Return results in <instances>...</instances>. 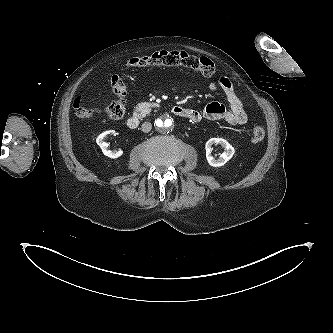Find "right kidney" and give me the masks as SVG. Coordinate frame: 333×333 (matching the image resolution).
Returning <instances> with one entry per match:
<instances>
[{
  "instance_id": "obj_1",
  "label": "right kidney",
  "mask_w": 333,
  "mask_h": 333,
  "mask_svg": "<svg viewBox=\"0 0 333 333\" xmlns=\"http://www.w3.org/2000/svg\"><path fill=\"white\" fill-rule=\"evenodd\" d=\"M113 133H115L114 130H108V131H105V132L101 133L97 137L96 142L100 146V148H101V150H102V152H103L104 155H106V156H108L110 158L115 159V158L120 157L123 154V151L121 149H119L117 151H111V150H109L108 149L109 144L104 141L105 138H106V136L108 134H113Z\"/></svg>"
}]
</instances>
